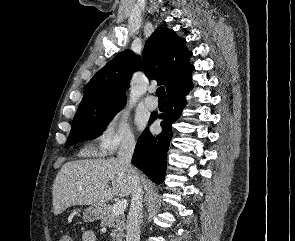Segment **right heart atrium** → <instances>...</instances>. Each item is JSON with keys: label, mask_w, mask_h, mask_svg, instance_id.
<instances>
[{"label": "right heart atrium", "mask_w": 295, "mask_h": 241, "mask_svg": "<svg viewBox=\"0 0 295 241\" xmlns=\"http://www.w3.org/2000/svg\"><path fill=\"white\" fill-rule=\"evenodd\" d=\"M97 147L101 154H113L119 147L132 146L135 143L128 117L122 111L109 115L101 124L96 136Z\"/></svg>", "instance_id": "right-heart-atrium-1"}]
</instances>
